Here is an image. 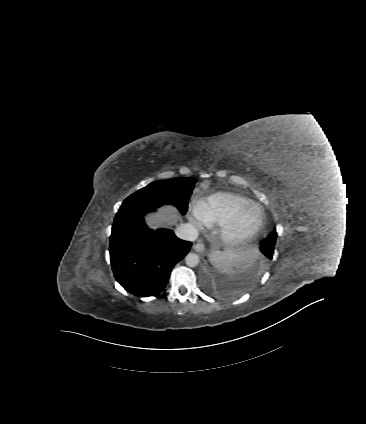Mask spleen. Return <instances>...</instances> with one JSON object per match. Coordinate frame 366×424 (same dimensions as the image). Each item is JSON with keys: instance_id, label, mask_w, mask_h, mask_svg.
<instances>
[{"instance_id": "spleen-1", "label": "spleen", "mask_w": 366, "mask_h": 424, "mask_svg": "<svg viewBox=\"0 0 366 424\" xmlns=\"http://www.w3.org/2000/svg\"><path fill=\"white\" fill-rule=\"evenodd\" d=\"M254 249L247 248L239 251H225L212 257V263L223 273L233 274V266H240L241 272L247 267L244 260L254 257Z\"/></svg>"}]
</instances>
